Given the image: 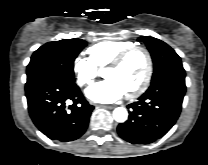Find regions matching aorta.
Segmentation results:
<instances>
[{
  "label": "aorta",
  "instance_id": "aorta-1",
  "mask_svg": "<svg viewBox=\"0 0 208 165\" xmlns=\"http://www.w3.org/2000/svg\"><path fill=\"white\" fill-rule=\"evenodd\" d=\"M113 118H114L115 121H117L119 123H123L128 118V112L123 107H117L113 111Z\"/></svg>",
  "mask_w": 208,
  "mask_h": 165
}]
</instances>
